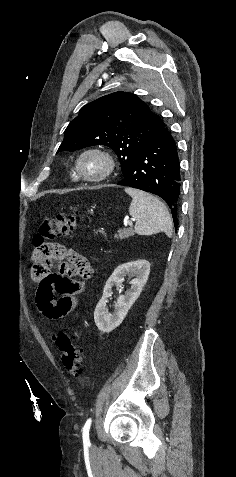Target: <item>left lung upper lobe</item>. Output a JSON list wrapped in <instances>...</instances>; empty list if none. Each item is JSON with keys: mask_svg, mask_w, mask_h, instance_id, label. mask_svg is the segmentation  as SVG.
Returning <instances> with one entry per match:
<instances>
[{"mask_svg": "<svg viewBox=\"0 0 236 477\" xmlns=\"http://www.w3.org/2000/svg\"><path fill=\"white\" fill-rule=\"evenodd\" d=\"M160 123V117L136 95L115 92L81 108L66 128L58 152L108 146L119 157L125 176L132 159L152 138Z\"/></svg>", "mask_w": 236, "mask_h": 477, "instance_id": "1", "label": "left lung upper lobe"}]
</instances>
